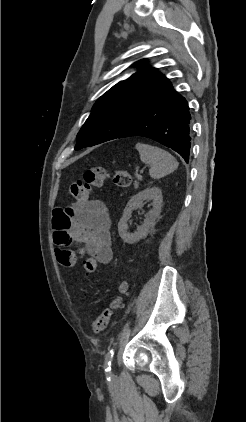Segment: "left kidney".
Masks as SVG:
<instances>
[{
    "instance_id": "left-kidney-1",
    "label": "left kidney",
    "mask_w": 246,
    "mask_h": 422,
    "mask_svg": "<svg viewBox=\"0 0 246 422\" xmlns=\"http://www.w3.org/2000/svg\"><path fill=\"white\" fill-rule=\"evenodd\" d=\"M152 200L153 209L145 215L143 224L134 233L128 232L127 221L133 210L143 206L144 201ZM163 196L158 187L146 188L137 193L127 203L123 215L118 223V232L122 240L128 244H134L145 238L149 229L154 226L156 218L161 212Z\"/></svg>"
}]
</instances>
